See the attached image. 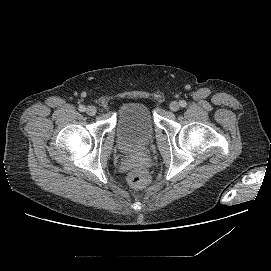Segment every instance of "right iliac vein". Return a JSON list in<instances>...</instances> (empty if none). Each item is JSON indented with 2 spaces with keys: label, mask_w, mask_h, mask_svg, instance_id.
Instances as JSON below:
<instances>
[{
  "label": "right iliac vein",
  "mask_w": 271,
  "mask_h": 271,
  "mask_svg": "<svg viewBox=\"0 0 271 271\" xmlns=\"http://www.w3.org/2000/svg\"><path fill=\"white\" fill-rule=\"evenodd\" d=\"M97 110L94 106H88L87 107V110H86V113L89 115V116H94L96 114Z\"/></svg>",
  "instance_id": "1"
}]
</instances>
